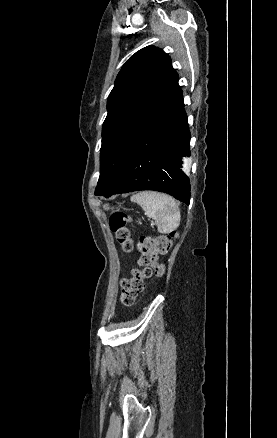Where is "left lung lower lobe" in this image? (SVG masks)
I'll return each mask as SVG.
<instances>
[{
	"label": "left lung lower lobe",
	"mask_w": 277,
	"mask_h": 438,
	"mask_svg": "<svg viewBox=\"0 0 277 438\" xmlns=\"http://www.w3.org/2000/svg\"><path fill=\"white\" fill-rule=\"evenodd\" d=\"M189 143L186 114L150 95L138 113L125 163L115 182L100 195L154 190L188 205L189 180L179 167L182 156L190 155Z\"/></svg>",
	"instance_id": "1"
}]
</instances>
